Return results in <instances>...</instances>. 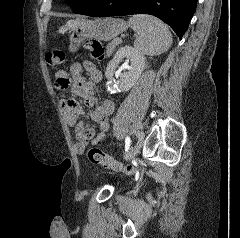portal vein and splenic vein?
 <instances>
[{
  "instance_id": "obj_1",
  "label": "portal vein and splenic vein",
  "mask_w": 240,
  "mask_h": 238,
  "mask_svg": "<svg viewBox=\"0 0 240 238\" xmlns=\"http://www.w3.org/2000/svg\"><path fill=\"white\" fill-rule=\"evenodd\" d=\"M118 41L121 43L122 42L121 38H118Z\"/></svg>"
}]
</instances>
